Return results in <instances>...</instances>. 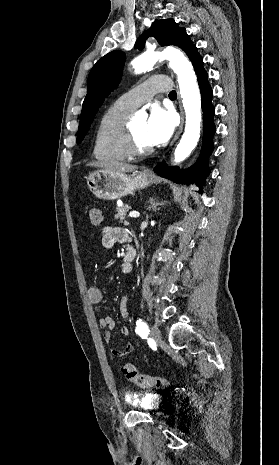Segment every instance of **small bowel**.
<instances>
[{
	"label": "small bowel",
	"instance_id": "c3829d8e",
	"mask_svg": "<svg viewBox=\"0 0 279 465\" xmlns=\"http://www.w3.org/2000/svg\"><path fill=\"white\" fill-rule=\"evenodd\" d=\"M101 241L102 245L110 249L112 248L116 243H129L130 238L128 233L118 227H105L102 230L101 234ZM132 265L131 263H123L122 264V272L123 273H129L131 271ZM88 297L90 301L93 304H98L102 301L103 299V294L101 289L98 286H92L88 290ZM121 313L123 317L128 320L129 319V313L126 308V302L123 301L121 305ZM115 320L111 316H104L99 319V326L101 329H103V338L106 342L111 341L112 337V330L115 328ZM129 328L127 325L123 326L121 328V334L124 336L129 335ZM134 351V346L132 343L128 342L125 344V346L122 349L114 348L111 350V353L115 357H120V358H126L127 356L131 355Z\"/></svg>",
	"mask_w": 279,
	"mask_h": 465
}]
</instances>
